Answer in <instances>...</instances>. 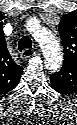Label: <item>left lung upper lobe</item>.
Masks as SVG:
<instances>
[{"label": "left lung upper lobe", "instance_id": "left-lung-upper-lobe-1", "mask_svg": "<svg viewBox=\"0 0 77 125\" xmlns=\"http://www.w3.org/2000/svg\"><path fill=\"white\" fill-rule=\"evenodd\" d=\"M59 32L64 45V64L61 71L51 78V84L58 92H67L66 82L70 70L77 60V15L75 12L65 14L59 24Z\"/></svg>", "mask_w": 77, "mask_h": 125}]
</instances>
